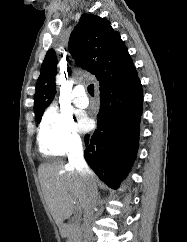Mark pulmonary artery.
Listing matches in <instances>:
<instances>
[{
  "mask_svg": "<svg viewBox=\"0 0 187 242\" xmlns=\"http://www.w3.org/2000/svg\"><path fill=\"white\" fill-rule=\"evenodd\" d=\"M73 103L78 108H86L88 106L89 100L82 85H78L74 88Z\"/></svg>",
  "mask_w": 187,
  "mask_h": 242,
  "instance_id": "1",
  "label": "pulmonary artery"
}]
</instances>
